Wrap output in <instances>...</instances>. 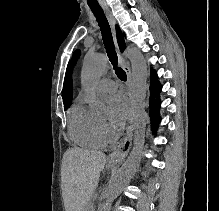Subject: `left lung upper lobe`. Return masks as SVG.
<instances>
[{
	"mask_svg": "<svg viewBox=\"0 0 219 211\" xmlns=\"http://www.w3.org/2000/svg\"><path fill=\"white\" fill-rule=\"evenodd\" d=\"M79 54H80V51H79V50H76L75 53H74V58H75V59L78 58Z\"/></svg>",
	"mask_w": 219,
	"mask_h": 211,
	"instance_id": "obj_1",
	"label": "left lung upper lobe"
}]
</instances>
